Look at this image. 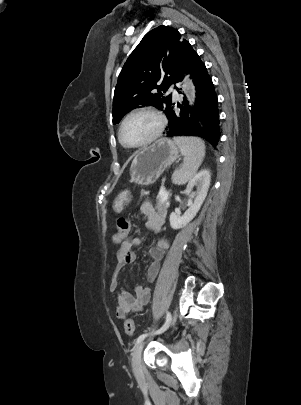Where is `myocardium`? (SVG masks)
Returning <instances> with one entry per match:
<instances>
[{"mask_svg":"<svg viewBox=\"0 0 301 405\" xmlns=\"http://www.w3.org/2000/svg\"><path fill=\"white\" fill-rule=\"evenodd\" d=\"M139 114H150V115L154 116V117L157 119V121H158L157 129H156V131L152 134V136H150V137H149L148 139H146L145 141H143V142H141V143H139V144H136V145L127 144V143L123 140V137H122L123 128H124L126 122H127L131 117H133V116H135V115H139ZM166 124H167V121H166L165 116L162 114V112H160L159 110H157V109H155V108H152V107H141V108L135 109V110L131 111L130 113H128V114L124 117V119L122 120V122H121V124H120V126H119V130H118V139H119V142H120L124 147L129 148V149H137V148L145 147V146L151 144L152 142H154L156 139H158V138L162 135V133L164 132V130H165V128H166Z\"/></svg>","mask_w":301,"mask_h":405,"instance_id":"obj_1","label":"myocardium"}]
</instances>
